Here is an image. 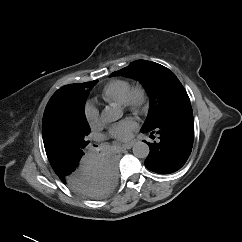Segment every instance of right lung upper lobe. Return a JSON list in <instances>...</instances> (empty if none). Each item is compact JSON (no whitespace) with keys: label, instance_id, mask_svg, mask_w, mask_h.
<instances>
[{"label":"right lung upper lobe","instance_id":"1","mask_svg":"<svg viewBox=\"0 0 242 242\" xmlns=\"http://www.w3.org/2000/svg\"><path fill=\"white\" fill-rule=\"evenodd\" d=\"M89 83L90 82L66 85L56 91L45 108L43 118L58 108L70 107L77 104L84 91L87 90Z\"/></svg>","mask_w":242,"mask_h":242}]
</instances>
